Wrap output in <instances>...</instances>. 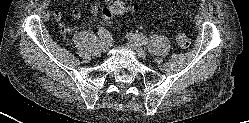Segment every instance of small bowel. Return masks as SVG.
<instances>
[{
	"instance_id": "obj_1",
	"label": "small bowel",
	"mask_w": 249,
	"mask_h": 123,
	"mask_svg": "<svg viewBox=\"0 0 249 123\" xmlns=\"http://www.w3.org/2000/svg\"><path fill=\"white\" fill-rule=\"evenodd\" d=\"M104 1H105V3H107V4H114V3L124 4L123 1H117V0H104ZM90 12H91V14H92L93 16H96V17L99 16V15L101 14V10H100V8H99V6H98L97 4L91 5ZM62 17H63V14H62L60 11H56V12L53 13V18H54L56 21H58V22H61ZM80 17H81V12H80V10L77 9V8L74 9V10L72 11V18H73L74 20H78V19H80ZM60 31H61L63 34H65V35H69L70 32H71V28H70L67 24L61 22V23H60Z\"/></svg>"
}]
</instances>
